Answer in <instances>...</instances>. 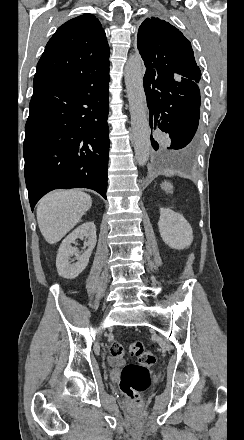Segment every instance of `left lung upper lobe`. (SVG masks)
<instances>
[{"instance_id": "obj_1", "label": "left lung upper lobe", "mask_w": 244, "mask_h": 440, "mask_svg": "<svg viewBox=\"0 0 244 440\" xmlns=\"http://www.w3.org/2000/svg\"><path fill=\"white\" fill-rule=\"evenodd\" d=\"M137 46L146 68L196 82L201 79L191 43L170 23L155 17L145 19L138 30Z\"/></svg>"}]
</instances>
